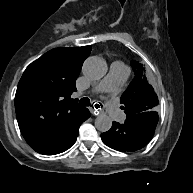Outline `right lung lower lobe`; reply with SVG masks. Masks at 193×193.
Here are the masks:
<instances>
[{"label": "right lung lower lobe", "instance_id": "1", "mask_svg": "<svg viewBox=\"0 0 193 193\" xmlns=\"http://www.w3.org/2000/svg\"><path fill=\"white\" fill-rule=\"evenodd\" d=\"M90 117L89 110L86 109L85 114L79 119V121L71 128V130L62 137L59 141L51 145L42 146L35 148L34 150L40 154L44 155H55L69 149L76 141L79 126Z\"/></svg>", "mask_w": 193, "mask_h": 193}]
</instances>
